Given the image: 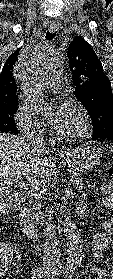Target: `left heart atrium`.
<instances>
[{
  "instance_id": "1",
  "label": "left heart atrium",
  "mask_w": 113,
  "mask_h": 279,
  "mask_svg": "<svg viewBox=\"0 0 113 279\" xmlns=\"http://www.w3.org/2000/svg\"><path fill=\"white\" fill-rule=\"evenodd\" d=\"M67 106L61 105L53 113L52 119H51V125L54 129L57 130V128L60 126L62 121L64 120L65 114H66Z\"/></svg>"
}]
</instances>
